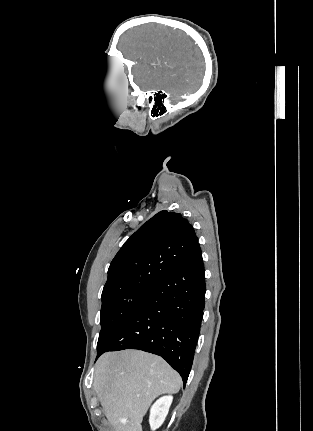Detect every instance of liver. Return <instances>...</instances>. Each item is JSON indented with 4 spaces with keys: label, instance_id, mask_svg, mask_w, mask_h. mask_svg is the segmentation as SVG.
Wrapping results in <instances>:
<instances>
[{
    "label": "liver",
    "instance_id": "6515ba94",
    "mask_svg": "<svg viewBox=\"0 0 313 431\" xmlns=\"http://www.w3.org/2000/svg\"><path fill=\"white\" fill-rule=\"evenodd\" d=\"M93 386L113 431H142L151 403L162 394L177 393L181 378L159 356L124 350L98 359Z\"/></svg>",
    "mask_w": 313,
    "mask_h": 431
}]
</instances>
